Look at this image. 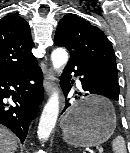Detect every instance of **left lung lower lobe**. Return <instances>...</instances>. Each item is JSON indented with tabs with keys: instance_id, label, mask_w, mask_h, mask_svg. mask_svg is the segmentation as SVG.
<instances>
[{
	"instance_id": "0a47b994",
	"label": "left lung lower lobe",
	"mask_w": 130,
	"mask_h": 153,
	"mask_svg": "<svg viewBox=\"0 0 130 153\" xmlns=\"http://www.w3.org/2000/svg\"><path fill=\"white\" fill-rule=\"evenodd\" d=\"M57 46L61 45L57 44ZM72 72H74L76 76H80L79 80L82 83L83 91L79 92L78 95L87 96L89 94H97L118 100L119 93L112 89L99 70L83 61H69L65 67L61 76V87L65 96L68 95L71 88L70 80ZM69 106L70 103L66 102L63 111H65Z\"/></svg>"
}]
</instances>
